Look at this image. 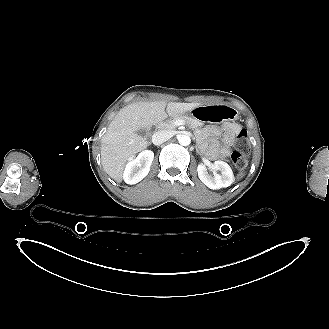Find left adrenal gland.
I'll return each instance as SVG.
<instances>
[{"label": "left adrenal gland", "instance_id": "a2214340", "mask_svg": "<svg viewBox=\"0 0 329 329\" xmlns=\"http://www.w3.org/2000/svg\"><path fill=\"white\" fill-rule=\"evenodd\" d=\"M196 151L199 153V150H198V148L196 147Z\"/></svg>", "mask_w": 329, "mask_h": 329}]
</instances>
